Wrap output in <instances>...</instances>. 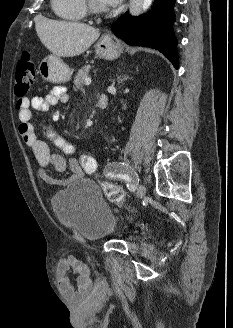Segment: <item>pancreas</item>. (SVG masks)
Wrapping results in <instances>:
<instances>
[{"instance_id":"1","label":"pancreas","mask_w":233,"mask_h":328,"mask_svg":"<svg viewBox=\"0 0 233 328\" xmlns=\"http://www.w3.org/2000/svg\"><path fill=\"white\" fill-rule=\"evenodd\" d=\"M90 72V65L82 67L77 75L75 76L73 83L75 85L74 90L81 89L82 86L85 84L86 78H88Z\"/></svg>"}]
</instances>
